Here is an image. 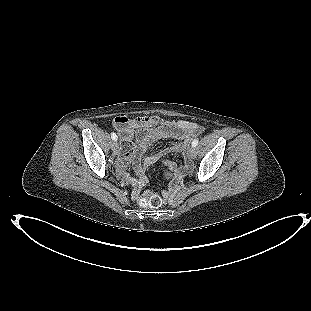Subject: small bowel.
I'll return each mask as SVG.
<instances>
[{
  "label": "small bowel",
  "mask_w": 311,
  "mask_h": 311,
  "mask_svg": "<svg viewBox=\"0 0 311 311\" xmlns=\"http://www.w3.org/2000/svg\"><path fill=\"white\" fill-rule=\"evenodd\" d=\"M113 126L120 133L122 140V148L118 155L120 173L132 185L134 200L138 199L142 187L147 182L144 176L146 169L169 154L183 151L190 138L199 132V126L193 122L161 121L154 125L148 122V117L118 116L114 119ZM168 138L177 141L145 155L154 141ZM130 160L133 162L136 178L130 176L125 169V163ZM166 165L174 178L179 177L189 167L187 160L184 166L177 165L171 160L166 161ZM164 197H169L168 191L164 192Z\"/></svg>",
  "instance_id": "small-bowel-1"
}]
</instances>
